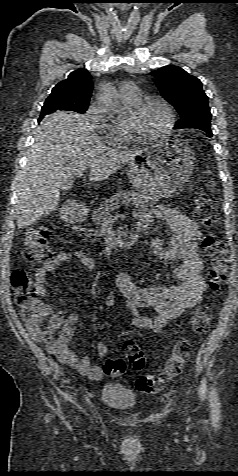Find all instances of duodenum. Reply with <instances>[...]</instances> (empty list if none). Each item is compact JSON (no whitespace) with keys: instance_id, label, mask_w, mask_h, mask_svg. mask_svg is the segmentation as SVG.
<instances>
[{"instance_id":"410a0bca","label":"duodenum","mask_w":238,"mask_h":476,"mask_svg":"<svg viewBox=\"0 0 238 476\" xmlns=\"http://www.w3.org/2000/svg\"><path fill=\"white\" fill-rule=\"evenodd\" d=\"M88 215V211H74L66 215V218L71 223L82 222Z\"/></svg>"}]
</instances>
